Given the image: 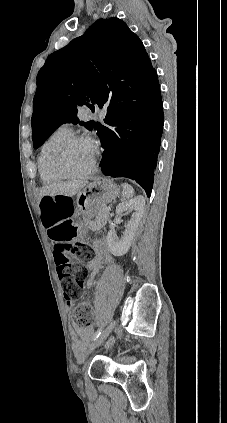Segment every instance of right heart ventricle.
<instances>
[{
  "label": "right heart ventricle",
  "instance_id": "1",
  "mask_svg": "<svg viewBox=\"0 0 227 423\" xmlns=\"http://www.w3.org/2000/svg\"><path fill=\"white\" fill-rule=\"evenodd\" d=\"M70 135L69 131L60 128L51 133L41 144L37 157V167L40 178L44 183H56L63 179L50 165V154L58 143Z\"/></svg>",
  "mask_w": 227,
  "mask_h": 423
}]
</instances>
